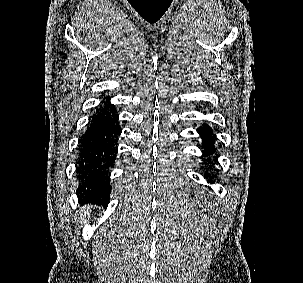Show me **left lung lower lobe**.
Masks as SVG:
<instances>
[{
    "instance_id": "left-lung-lower-lobe-1",
    "label": "left lung lower lobe",
    "mask_w": 303,
    "mask_h": 283,
    "mask_svg": "<svg viewBox=\"0 0 303 283\" xmlns=\"http://www.w3.org/2000/svg\"><path fill=\"white\" fill-rule=\"evenodd\" d=\"M198 133L203 136V146L206 154H211L214 151L211 129L207 125H204L198 129ZM207 162L210 163V158L207 159Z\"/></svg>"
}]
</instances>
